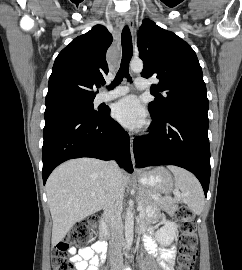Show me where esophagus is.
Wrapping results in <instances>:
<instances>
[{"label":"esophagus","mask_w":242,"mask_h":270,"mask_svg":"<svg viewBox=\"0 0 242 270\" xmlns=\"http://www.w3.org/2000/svg\"><path fill=\"white\" fill-rule=\"evenodd\" d=\"M125 22L128 25L131 32H133V30H134V19L129 13H127L126 16H125ZM130 151H131L132 164L134 166L135 165V159H134V154H133V138L131 136H130Z\"/></svg>","instance_id":"1"}]
</instances>
